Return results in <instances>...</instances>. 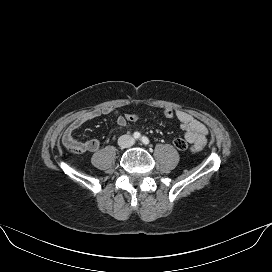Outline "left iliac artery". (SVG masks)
<instances>
[{
    "mask_svg": "<svg viewBox=\"0 0 272 272\" xmlns=\"http://www.w3.org/2000/svg\"><path fill=\"white\" fill-rule=\"evenodd\" d=\"M141 141L145 144V145H148L149 144V139L146 137V136H143L141 138Z\"/></svg>",
    "mask_w": 272,
    "mask_h": 272,
    "instance_id": "obj_1",
    "label": "left iliac artery"
}]
</instances>
